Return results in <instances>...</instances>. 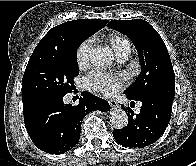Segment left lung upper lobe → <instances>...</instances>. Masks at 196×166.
<instances>
[{"instance_id": "obj_1", "label": "left lung upper lobe", "mask_w": 196, "mask_h": 166, "mask_svg": "<svg viewBox=\"0 0 196 166\" xmlns=\"http://www.w3.org/2000/svg\"><path fill=\"white\" fill-rule=\"evenodd\" d=\"M107 26L126 34L139 54L141 73L124 94L133 100L147 95L174 100V70L165 43L157 31L141 19L112 20Z\"/></svg>"}]
</instances>
